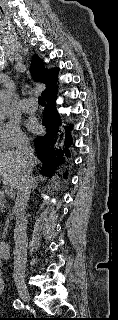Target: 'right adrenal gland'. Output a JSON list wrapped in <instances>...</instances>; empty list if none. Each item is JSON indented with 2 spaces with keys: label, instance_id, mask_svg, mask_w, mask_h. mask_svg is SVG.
Listing matches in <instances>:
<instances>
[{
  "label": "right adrenal gland",
  "instance_id": "obj_1",
  "mask_svg": "<svg viewBox=\"0 0 118 320\" xmlns=\"http://www.w3.org/2000/svg\"><path fill=\"white\" fill-rule=\"evenodd\" d=\"M38 186V182H37V179L36 177L33 178V186H32V191H34Z\"/></svg>",
  "mask_w": 118,
  "mask_h": 320
}]
</instances>
